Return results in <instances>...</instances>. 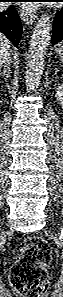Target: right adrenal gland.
Here are the masks:
<instances>
[{"instance_id": "right-adrenal-gland-1", "label": "right adrenal gland", "mask_w": 63, "mask_h": 297, "mask_svg": "<svg viewBox=\"0 0 63 297\" xmlns=\"http://www.w3.org/2000/svg\"><path fill=\"white\" fill-rule=\"evenodd\" d=\"M10 75V68L9 67H5L3 69V71L0 72V78H4L5 81H7V78H9Z\"/></svg>"}]
</instances>
